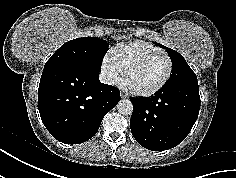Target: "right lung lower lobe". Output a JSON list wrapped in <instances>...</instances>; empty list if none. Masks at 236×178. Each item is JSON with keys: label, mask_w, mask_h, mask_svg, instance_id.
Wrapping results in <instances>:
<instances>
[{"label": "right lung lower lobe", "mask_w": 236, "mask_h": 178, "mask_svg": "<svg viewBox=\"0 0 236 178\" xmlns=\"http://www.w3.org/2000/svg\"><path fill=\"white\" fill-rule=\"evenodd\" d=\"M99 72L82 64L44 67L38 109L52 136L65 144L92 138L103 117L120 101L118 90L99 81Z\"/></svg>", "instance_id": "98d812e1"}]
</instances>
